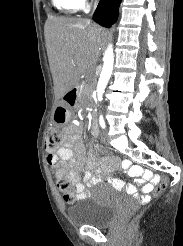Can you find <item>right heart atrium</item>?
I'll use <instances>...</instances> for the list:
<instances>
[{
	"label": "right heart atrium",
	"instance_id": "obj_1",
	"mask_svg": "<svg viewBox=\"0 0 183 246\" xmlns=\"http://www.w3.org/2000/svg\"><path fill=\"white\" fill-rule=\"evenodd\" d=\"M86 0H77L78 4L80 6H83Z\"/></svg>",
	"mask_w": 183,
	"mask_h": 246
}]
</instances>
